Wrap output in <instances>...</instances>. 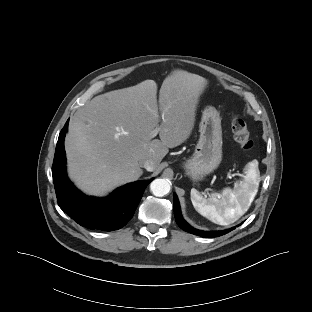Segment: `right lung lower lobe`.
<instances>
[{
  "instance_id": "1",
  "label": "right lung lower lobe",
  "mask_w": 312,
  "mask_h": 312,
  "mask_svg": "<svg viewBox=\"0 0 312 312\" xmlns=\"http://www.w3.org/2000/svg\"><path fill=\"white\" fill-rule=\"evenodd\" d=\"M68 121L59 134L52 166L58 205L76 223L86 228L104 231L120 229L132 218L145 188L153 179L126 184L105 200L82 194L66 175L64 138Z\"/></svg>"
}]
</instances>
